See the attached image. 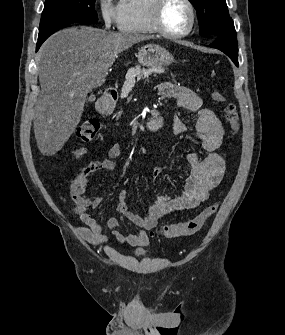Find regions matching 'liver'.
<instances>
[{
  "mask_svg": "<svg viewBox=\"0 0 285 335\" xmlns=\"http://www.w3.org/2000/svg\"><path fill=\"white\" fill-rule=\"evenodd\" d=\"M152 38L76 26L44 42L36 56L42 90L34 112V134L43 156H54L69 140L89 92L103 86L118 54Z\"/></svg>",
  "mask_w": 285,
  "mask_h": 335,
  "instance_id": "obj_1",
  "label": "liver"
}]
</instances>
